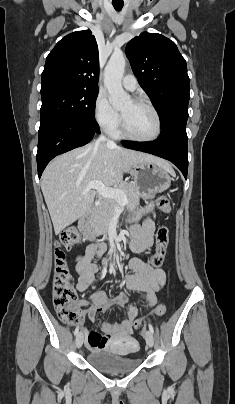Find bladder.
Listing matches in <instances>:
<instances>
[{
  "mask_svg": "<svg viewBox=\"0 0 235 404\" xmlns=\"http://www.w3.org/2000/svg\"><path fill=\"white\" fill-rule=\"evenodd\" d=\"M135 348V346L99 348L89 352L86 358L88 363L100 371L109 373L130 372L140 365L141 359L121 355L119 352L130 354L134 352Z\"/></svg>",
  "mask_w": 235,
  "mask_h": 404,
  "instance_id": "1",
  "label": "bladder"
}]
</instances>
